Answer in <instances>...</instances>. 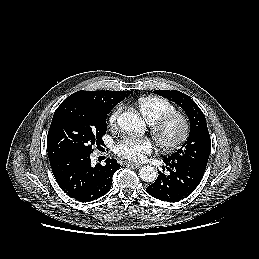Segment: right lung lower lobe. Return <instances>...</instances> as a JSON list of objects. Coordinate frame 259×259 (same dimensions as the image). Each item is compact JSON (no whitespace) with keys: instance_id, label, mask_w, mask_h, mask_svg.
Here are the masks:
<instances>
[{"instance_id":"98d812e1","label":"right lung lower lobe","mask_w":259,"mask_h":259,"mask_svg":"<svg viewBox=\"0 0 259 259\" xmlns=\"http://www.w3.org/2000/svg\"><path fill=\"white\" fill-rule=\"evenodd\" d=\"M91 153L72 152L50 160L54 177L61 189L81 202L93 201L104 196L111 188L114 172L120 168L115 159L92 167Z\"/></svg>"}]
</instances>
